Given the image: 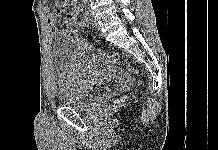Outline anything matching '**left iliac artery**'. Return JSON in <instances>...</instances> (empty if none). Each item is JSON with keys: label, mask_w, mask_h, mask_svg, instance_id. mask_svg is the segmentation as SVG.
Instances as JSON below:
<instances>
[{"label": "left iliac artery", "mask_w": 218, "mask_h": 150, "mask_svg": "<svg viewBox=\"0 0 218 150\" xmlns=\"http://www.w3.org/2000/svg\"><path fill=\"white\" fill-rule=\"evenodd\" d=\"M81 18H83L84 19V21H82L83 22V24H85V22H87V20H86V13H81Z\"/></svg>", "instance_id": "obj_1"}]
</instances>
